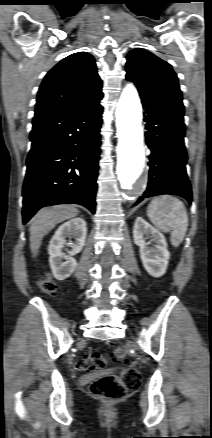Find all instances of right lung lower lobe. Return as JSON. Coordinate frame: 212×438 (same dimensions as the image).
<instances>
[{
	"mask_svg": "<svg viewBox=\"0 0 212 438\" xmlns=\"http://www.w3.org/2000/svg\"><path fill=\"white\" fill-rule=\"evenodd\" d=\"M103 107L35 117L23 185V222L42 207L80 204L95 213Z\"/></svg>",
	"mask_w": 212,
	"mask_h": 438,
	"instance_id": "obj_1",
	"label": "right lung lower lobe"
}]
</instances>
